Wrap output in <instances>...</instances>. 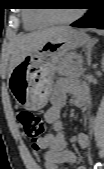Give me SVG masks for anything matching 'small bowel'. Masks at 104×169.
Wrapping results in <instances>:
<instances>
[{"label":"small bowel","instance_id":"small-bowel-1","mask_svg":"<svg viewBox=\"0 0 104 169\" xmlns=\"http://www.w3.org/2000/svg\"><path fill=\"white\" fill-rule=\"evenodd\" d=\"M71 94L75 101L84 98V90L75 80H61L57 83L51 96V107L45 112L46 122L53 126L55 133H48L40 137L37 141L39 148L44 153L45 169H60V165L74 163L77 159L74 152L67 149V142L62 132L63 124L61 112L67 102V95ZM76 142L81 149L88 146V137L80 133L76 137ZM77 169H86L79 166Z\"/></svg>","mask_w":104,"mask_h":169}]
</instances>
